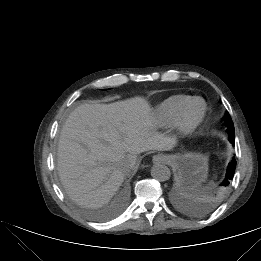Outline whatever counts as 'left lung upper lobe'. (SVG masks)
Here are the masks:
<instances>
[{
    "label": "left lung upper lobe",
    "instance_id": "left-lung-upper-lobe-1",
    "mask_svg": "<svg viewBox=\"0 0 261 261\" xmlns=\"http://www.w3.org/2000/svg\"><path fill=\"white\" fill-rule=\"evenodd\" d=\"M224 119H225V123H226V126H227L228 138L234 139V125H233V122H232L230 115L228 113H226ZM229 184H230V182L225 177L224 180L221 182V184L219 186V189H218V192H217L218 198L223 195V193L225 192V190L227 189Z\"/></svg>",
    "mask_w": 261,
    "mask_h": 261
}]
</instances>
